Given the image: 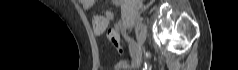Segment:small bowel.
Here are the masks:
<instances>
[{
  "instance_id": "1",
  "label": "small bowel",
  "mask_w": 238,
  "mask_h": 70,
  "mask_svg": "<svg viewBox=\"0 0 238 70\" xmlns=\"http://www.w3.org/2000/svg\"><path fill=\"white\" fill-rule=\"evenodd\" d=\"M118 3L117 0L113 1ZM80 3L85 11L92 15V26L96 34H102L109 26L110 21L114 18V14L111 11L98 12L95 9L94 0H80ZM119 28V26H117ZM119 38V35H118Z\"/></svg>"
}]
</instances>
